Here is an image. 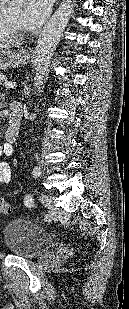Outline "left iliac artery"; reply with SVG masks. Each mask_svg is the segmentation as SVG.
Listing matches in <instances>:
<instances>
[{"label":"left iliac artery","mask_w":129,"mask_h":309,"mask_svg":"<svg viewBox=\"0 0 129 309\" xmlns=\"http://www.w3.org/2000/svg\"><path fill=\"white\" fill-rule=\"evenodd\" d=\"M33 176L34 177H38L39 175H40V167H38V166H35L34 167V169H33ZM25 205L27 206V207H33L34 206V199L32 198V196H27L26 198H25ZM45 221H50V216L49 215H46L45 216Z\"/></svg>","instance_id":"obj_1"}]
</instances>
